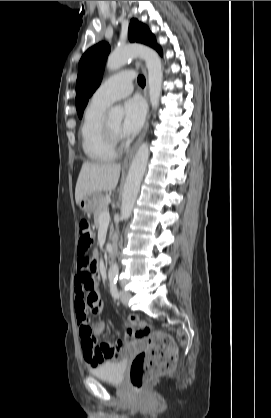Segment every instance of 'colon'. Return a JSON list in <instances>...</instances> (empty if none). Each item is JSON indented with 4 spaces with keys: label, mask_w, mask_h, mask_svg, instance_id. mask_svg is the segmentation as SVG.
Instances as JSON below:
<instances>
[{
    "label": "colon",
    "mask_w": 271,
    "mask_h": 418,
    "mask_svg": "<svg viewBox=\"0 0 271 418\" xmlns=\"http://www.w3.org/2000/svg\"><path fill=\"white\" fill-rule=\"evenodd\" d=\"M94 242V231L90 223H79V256L88 255ZM129 322L137 326L135 336L148 338L149 347L137 354L130 365V382L135 391L141 392L155 377L172 371L176 366L177 348L172 338L164 332L152 331L137 317L131 316ZM89 333L88 328L84 329Z\"/></svg>",
    "instance_id": "obj_1"
}]
</instances>
